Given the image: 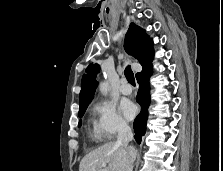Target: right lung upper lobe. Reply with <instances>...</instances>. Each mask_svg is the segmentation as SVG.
Segmentation results:
<instances>
[{
	"label": "right lung upper lobe",
	"mask_w": 223,
	"mask_h": 171,
	"mask_svg": "<svg viewBox=\"0 0 223 171\" xmlns=\"http://www.w3.org/2000/svg\"><path fill=\"white\" fill-rule=\"evenodd\" d=\"M152 45L153 41L149 39L146 32L141 27L131 23L125 36L124 48L129 55L140 62L143 67L142 71L151 66L154 56ZM99 72L100 66L98 64H90L86 68L81 81L80 107L87 106L91 102L98 85L96 76Z\"/></svg>",
	"instance_id": "cb5924a9"
}]
</instances>
